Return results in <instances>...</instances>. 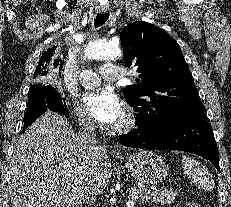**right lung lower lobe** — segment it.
<instances>
[{
	"mask_svg": "<svg viewBox=\"0 0 231 207\" xmlns=\"http://www.w3.org/2000/svg\"><path fill=\"white\" fill-rule=\"evenodd\" d=\"M46 109L53 110L64 115L66 118L69 117L67 106L65 103H62L57 91L52 86H42V88L36 90L35 97L28 102L27 110L24 114L22 133L40 117Z\"/></svg>",
	"mask_w": 231,
	"mask_h": 207,
	"instance_id": "obj_1",
	"label": "right lung lower lobe"
}]
</instances>
